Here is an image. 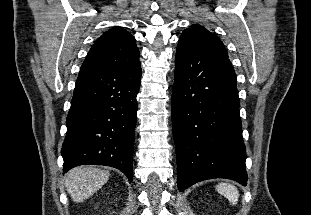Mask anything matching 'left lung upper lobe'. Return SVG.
I'll return each mask as SVG.
<instances>
[{
	"instance_id": "1",
	"label": "left lung upper lobe",
	"mask_w": 311,
	"mask_h": 215,
	"mask_svg": "<svg viewBox=\"0 0 311 215\" xmlns=\"http://www.w3.org/2000/svg\"><path fill=\"white\" fill-rule=\"evenodd\" d=\"M181 37L190 38L198 42H202L218 52L228 57L227 49L216 34L209 32L203 26L194 24L191 27L185 29Z\"/></svg>"
}]
</instances>
